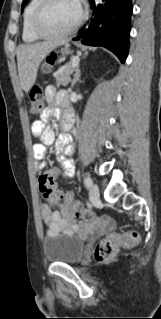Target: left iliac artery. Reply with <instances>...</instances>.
I'll return each mask as SVG.
<instances>
[{
	"instance_id": "left-iliac-artery-1",
	"label": "left iliac artery",
	"mask_w": 161,
	"mask_h": 319,
	"mask_svg": "<svg viewBox=\"0 0 161 319\" xmlns=\"http://www.w3.org/2000/svg\"><path fill=\"white\" fill-rule=\"evenodd\" d=\"M84 184H85L86 187H90L92 185V180H91V178L89 176H86L84 178Z\"/></svg>"
}]
</instances>
